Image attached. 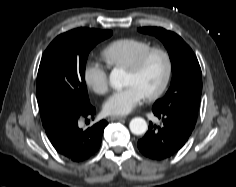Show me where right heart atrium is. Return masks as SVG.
<instances>
[{"instance_id": "right-heart-atrium-1", "label": "right heart atrium", "mask_w": 236, "mask_h": 187, "mask_svg": "<svg viewBox=\"0 0 236 187\" xmlns=\"http://www.w3.org/2000/svg\"><path fill=\"white\" fill-rule=\"evenodd\" d=\"M86 86L97 94H104L109 87L107 72L97 62L88 63L83 71Z\"/></svg>"}]
</instances>
